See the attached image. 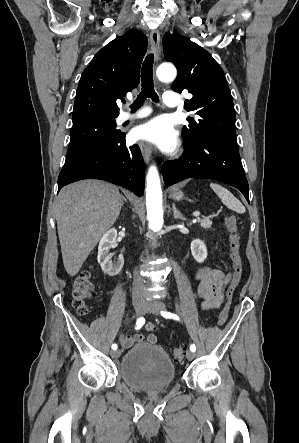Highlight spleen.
<instances>
[{
    "instance_id": "obj_1",
    "label": "spleen",
    "mask_w": 299,
    "mask_h": 443,
    "mask_svg": "<svg viewBox=\"0 0 299 443\" xmlns=\"http://www.w3.org/2000/svg\"><path fill=\"white\" fill-rule=\"evenodd\" d=\"M210 187L229 209L239 214L245 212L243 204L229 190L216 183H211Z\"/></svg>"
}]
</instances>
